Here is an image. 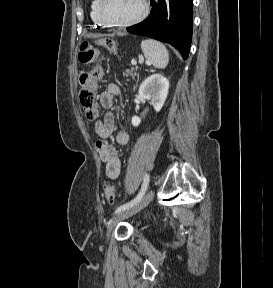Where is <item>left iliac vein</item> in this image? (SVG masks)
Masks as SVG:
<instances>
[{
  "instance_id": "4c4485c4",
  "label": "left iliac vein",
  "mask_w": 273,
  "mask_h": 288,
  "mask_svg": "<svg viewBox=\"0 0 273 288\" xmlns=\"http://www.w3.org/2000/svg\"><path fill=\"white\" fill-rule=\"evenodd\" d=\"M152 198H153V191L151 190L137 204H135L134 206H132L128 209H125V210L119 212L107 225V232H106L107 240H109L113 229L115 228V226L120 221H122V220L138 213L142 209H144L150 203Z\"/></svg>"
}]
</instances>
